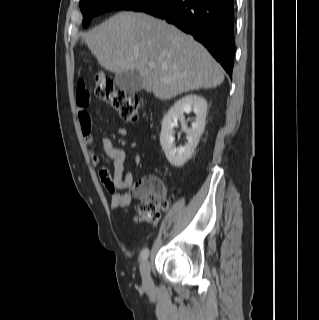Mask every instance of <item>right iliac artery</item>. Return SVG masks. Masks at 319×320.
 Listing matches in <instances>:
<instances>
[{
	"label": "right iliac artery",
	"mask_w": 319,
	"mask_h": 320,
	"mask_svg": "<svg viewBox=\"0 0 319 320\" xmlns=\"http://www.w3.org/2000/svg\"><path fill=\"white\" fill-rule=\"evenodd\" d=\"M148 256H149V249L148 248L143 249L141 252L142 260L145 261L148 258Z\"/></svg>",
	"instance_id": "1"
}]
</instances>
